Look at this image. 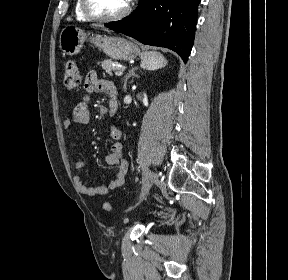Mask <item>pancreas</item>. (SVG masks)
<instances>
[{
    "label": "pancreas",
    "instance_id": "cf45deb5",
    "mask_svg": "<svg viewBox=\"0 0 288 280\" xmlns=\"http://www.w3.org/2000/svg\"><path fill=\"white\" fill-rule=\"evenodd\" d=\"M101 67L106 71V73L112 76V71L120 68V64L117 62H113L110 59H106L102 61Z\"/></svg>",
    "mask_w": 288,
    "mask_h": 280
}]
</instances>
